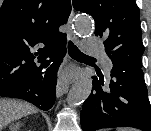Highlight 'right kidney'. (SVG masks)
I'll return each instance as SVG.
<instances>
[{
  "instance_id": "obj_1",
  "label": "right kidney",
  "mask_w": 151,
  "mask_h": 131,
  "mask_svg": "<svg viewBox=\"0 0 151 131\" xmlns=\"http://www.w3.org/2000/svg\"><path fill=\"white\" fill-rule=\"evenodd\" d=\"M17 128H18V124L15 127H13V131H17Z\"/></svg>"
}]
</instances>
